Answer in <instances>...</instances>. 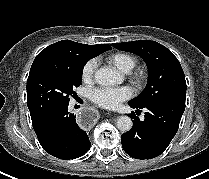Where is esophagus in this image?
<instances>
[{
    "instance_id": "1",
    "label": "esophagus",
    "mask_w": 209,
    "mask_h": 179,
    "mask_svg": "<svg viewBox=\"0 0 209 179\" xmlns=\"http://www.w3.org/2000/svg\"><path fill=\"white\" fill-rule=\"evenodd\" d=\"M76 121L83 130H90L98 123V113L93 108L81 109L76 114Z\"/></svg>"
}]
</instances>
